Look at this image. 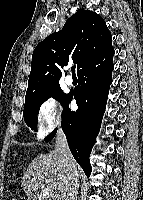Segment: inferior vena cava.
I'll list each match as a JSON object with an SVG mask.
<instances>
[{"mask_svg": "<svg viewBox=\"0 0 143 200\" xmlns=\"http://www.w3.org/2000/svg\"><path fill=\"white\" fill-rule=\"evenodd\" d=\"M56 152L61 156V163L64 167L65 182L62 191L63 200H76L77 189L79 187V175L76 167L75 160L70 152L66 135L61 127L58 128L56 133Z\"/></svg>", "mask_w": 143, "mask_h": 200, "instance_id": "inferior-vena-cava-1", "label": "inferior vena cava"}]
</instances>
